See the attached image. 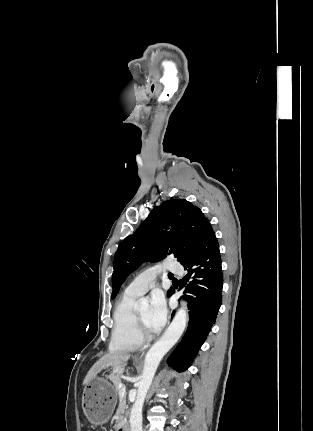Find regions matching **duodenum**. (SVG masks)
Listing matches in <instances>:
<instances>
[{
	"instance_id": "obj_1",
	"label": "duodenum",
	"mask_w": 313,
	"mask_h": 431,
	"mask_svg": "<svg viewBox=\"0 0 313 431\" xmlns=\"http://www.w3.org/2000/svg\"><path fill=\"white\" fill-rule=\"evenodd\" d=\"M117 431H129V424H128V422L127 421H122L118 425Z\"/></svg>"
}]
</instances>
